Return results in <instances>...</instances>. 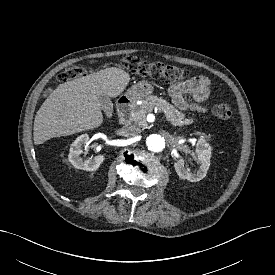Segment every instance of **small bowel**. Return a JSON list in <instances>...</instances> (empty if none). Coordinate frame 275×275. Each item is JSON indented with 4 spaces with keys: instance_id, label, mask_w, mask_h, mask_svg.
<instances>
[{
    "instance_id": "1",
    "label": "small bowel",
    "mask_w": 275,
    "mask_h": 275,
    "mask_svg": "<svg viewBox=\"0 0 275 275\" xmlns=\"http://www.w3.org/2000/svg\"><path fill=\"white\" fill-rule=\"evenodd\" d=\"M168 92L174 105L181 109H190L197 112H205L206 106L203 103L210 95V81L205 76H197L184 82L171 85ZM192 95L195 102L190 103L185 95Z\"/></svg>"
}]
</instances>
